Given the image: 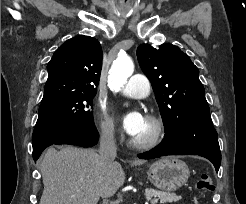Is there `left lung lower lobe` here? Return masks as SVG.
Listing matches in <instances>:
<instances>
[{"label":"left lung lower lobe","mask_w":246,"mask_h":204,"mask_svg":"<svg viewBox=\"0 0 246 204\" xmlns=\"http://www.w3.org/2000/svg\"><path fill=\"white\" fill-rule=\"evenodd\" d=\"M165 155H199L209 159L218 171L221 153L211 118L195 119L175 125L171 131L165 132L159 146L139 154L138 157L153 159Z\"/></svg>","instance_id":"1"}]
</instances>
